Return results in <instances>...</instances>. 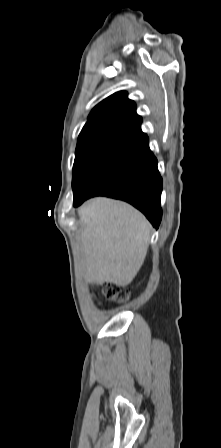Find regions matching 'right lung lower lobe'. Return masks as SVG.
Wrapping results in <instances>:
<instances>
[{"label": "right lung lower lobe", "mask_w": 221, "mask_h": 448, "mask_svg": "<svg viewBox=\"0 0 221 448\" xmlns=\"http://www.w3.org/2000/svg\"><path fill=\"white\" fill-rule=\"evenodd\" d=\"M162 178L142 131L114 147L97 165L74 198L73 206L94 196L124 200L145 214L155 228L162 217Z\"/></svg>", "instance_id": "98d812e1"}]
</instances>
